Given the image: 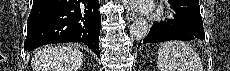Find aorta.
<instances>
[{
  "label": "aorta",
  "mask_w": 230,
  "mask_h": 71,
  "mask_svg": "<svg viewBox=\"0 0 230 71\" xmlns=\"http://www.w3.org/2000/svg\"><path fill=\"white\" fill-rule=\"evenodd\" d=\"M149 31L148 22L144 18L137 19L130 27V36L133 40L139 41L144 39Z\"/></svg>",
  "instance_id": "762f6f07"
}]
</instances>
